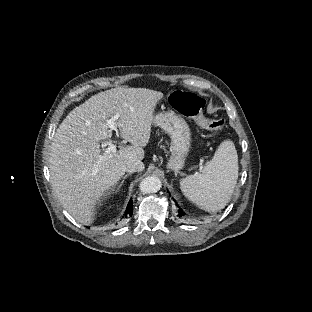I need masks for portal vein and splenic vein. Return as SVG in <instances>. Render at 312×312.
Masks as SVG:
<instances>
[{"instance_id":"1","label":"portal vein and splenic vein","mask_w":312,"mask_h":312,"mask_svg":"<svg viewBox=\"0 0 312 312\" xmlns=\"http://www.w3.org/2000/svg\"><path fill=\"white\" fill-rule=\"evenodd\" d=\"M120 115L117 113L116 115H114L113 117H111L110 119L106 120L108 127L111 130L114 131H118L117 126H116V121L119 119ZM107 152L109 153H116V146L114 144H109ZM100 158H105L103 155L100 156ZM97 173V169H95L92 174H96ZM198 174V173H196Z\"/></svg>"}]
</instances>
